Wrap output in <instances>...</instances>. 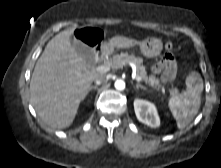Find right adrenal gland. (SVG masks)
<instances>
[{
	"label": "right adrenal gland",
	"mask_w": 221,
	"mask_h": 168,
	"mask_svg": "<svg viewBox=\"0 0 221 168\" xmlns=\"http://www.w3.org/2000/svg\"><path fill=\"white\" fill-rule=\"evenodd\" d=\"M97 88H98L97 85H95V86H91L90 89H89V91H91V90H96Z\"/></svg>",
	"instance_id": "obj_1"
}]
</instances>
